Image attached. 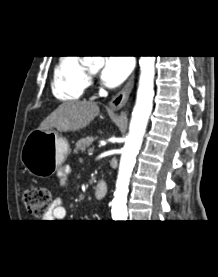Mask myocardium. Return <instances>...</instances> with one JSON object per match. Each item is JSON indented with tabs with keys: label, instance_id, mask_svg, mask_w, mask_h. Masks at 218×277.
Here are the masks:
<instances>
[{
	"label": "myocardium",
	"instance_id": "1",
	"mask_svg": "<svg viewBox=\"0 0 218 277\" xmlns=\"http://www.w3.org/2000/svg\"><path fill=\"white\" fill-rule=\"evenodd\" d=\"M86 73H87L88 75H91V74H92V71L86 68Z\"/></svg>",
	"mask_w": 218,
	"mask_h": 277
}]
</instances>
